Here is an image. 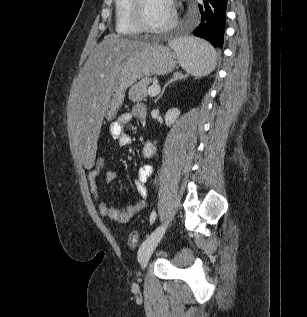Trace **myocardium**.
<instances>
[{
	"mask_svg": "<svg viewBox=\"0 0 307 317\" xmlns=\"http://www.w3.org/2000/svg\"><path fill=\"white\" fill-rule=\"evenodd\" d=\"M146 0H131V20L134 26L141 32H147L151 34H163L170 31L177 23L178 15L177 10L173 6V12L171 19L161 27L150 26L144 17V7Z\"/></svg>",
	"mask_w": 307,
	"mask_h": 317,
	"instance_id": "1",
	"label": "myocardium"
}]
</instances>
